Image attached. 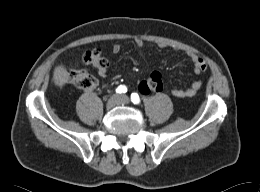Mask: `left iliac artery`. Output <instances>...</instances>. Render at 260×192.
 I'll list each match as a JSON object with an SVG mask.
<instances>
[{
    "label": "left iliac artery",
    "mask_w": 260,
    "mask_h": 192,
    "mask_svg": "<svg viewBox=\"0 0 260 192\" xmlns=\"http://www.w3.org/2000/svg\"><path fill=\"white\" fill-rule=\"evenodd\" d=\"M131 101L134 103V104H139L140 103V97L137 93H132L131 94Z\"/></svg>",
    "instance_id": "left-iliac-artery-1"
}]
</instances>
